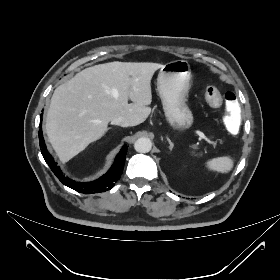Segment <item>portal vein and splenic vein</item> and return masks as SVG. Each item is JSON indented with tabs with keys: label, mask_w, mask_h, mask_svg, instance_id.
Instances as JSON below:
<instances>
[{
	"label": "portal vein and splenic vein",
	"mask_w": 280,
	"mask_h": 280,
	"mask_svg": "<svg viewBox=\"0 0 280 280\" xmlns=\"http://www.w3.org/2000/svg\"><path fill=\"white\" fill-rule=\"evenodd\" d=\"M197 134L202 138L205 139L208 143L212 144V141L205 136L203 132L197 131Z\"/></svg>",
	"instance_id": "portal-vein-and-splenic-vein-1"
}]
</instances>
